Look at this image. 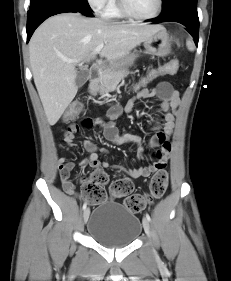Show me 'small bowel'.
Listing matches in <instances>:
<instances>
[{
  "label": "small bowel",
  "mask_w": 231,
  "mask_h": 281,
  "mask_svg": "<svg viewBox=\"0 0 231 281\" xmlns=\"http://www.w3.org/2000/svg\"><path fill=\"white\" fill-rule=\"evenodd\" d=\"M149 98H157L159 100V110L162 112L160 121L156 125L158 131L151 139L152 147L157 148V151L153 155L155 161L149 166H139L133 169H125L106 161L102 162L96 153L98 149L97 146L91 140L86 139L83 142V146L84 149L89 152V156L88 159L83 162V165H88L94 169L100 167L118 169L134 179L147 177L158 170H162L166 166L171 153V143L169 139L173 132L175 117L180 103L179 93L170 83L161 81L154 89L146 88L137 93L134 100ZM119 113L120 107L115 105L109 110L108 115L110 118H115ZM94 125L103 126L104 137L114 144H122L125 141L137 142L135 138L120 135L116 127L111 123L104 124L100 119L93 120L91 118H84L81 123H72L68 126L64 135L65 143L70 147L76 146L75 135L79 132L80 128L90 129ZM57 163L64 191L69 195L76 194L75 185L71 179L74 163L67 161L64 157L59 158ZM80 181L83 184L87 182L85 178H81Z\"/></svg>",
  "instance_id": "c3829d8e"
}]
</instances>
